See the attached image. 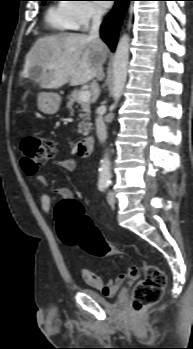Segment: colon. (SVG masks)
<instances>
[{
	"instance_id": "1",
	"label": "colon",
	"mask_w": 193,
	"mask_h": 349,
	"mask_svg": "<svg viewBox=\"0 0 193 349\" xmlns=\"http://www.w3.org/2000/svg\"><path fill=\"white\" fill-rule=\"evenodd\" d=\"M24 160L33 169L53 158L56 154L54 141L35 135L21 140ZM55 221L61 240L70 246H78L94 256L120 255L125 251L110 243L87 217L82 206L74 200H62L55 208ZM143 279L134 289L132 306L136 312L157 303L166 285L165 273L155 265H143Z\"/></svg>"
}]
</instances>
